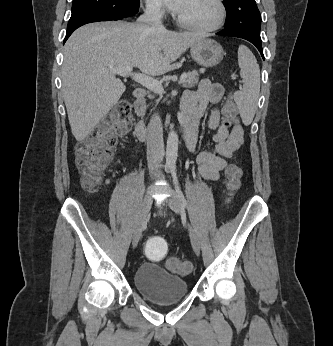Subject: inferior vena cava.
I'll use <instances>...</instances> for the list:
<instances>
[{
  "label": "inferior vena cava",
  "mask_w": 333,
  "mask_h": 346,
  "mask_svg": "<svg viewBox=\"0 0 333 346\" xmlns=\"http://www.w3.org/2000/svg\"><path fill=\"white\" fill-rule=\"evenodd\" d=\"M163 11L159 5H151L146 8L143 15L138 18V23H143L152 29L162 30ZM164 156L163 129L161 118L158 114L151 117L148 124L147 136V161L150 175H156L161 167Z\"/></svg>",
  "instance_id": "602c4592"
}]
</instances>
